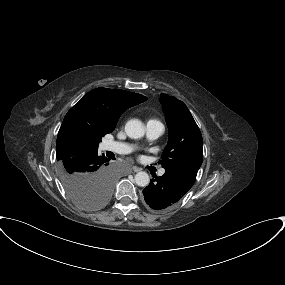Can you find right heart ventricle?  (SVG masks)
Masks as SVG:
<instances>
[{"instance_id":"e07e8e85","label":"right heart ventricle","mask_w":285,"mask_h":285,"mask_svg":"<svg viewBox=\"0 0 285 285\" xmlns=\"http://www.w3.org/2000/svg\"><path fill=\"white\" fill-rule=\"evenodd\" d=\"M149 121H153V122H160L158 119H156V118H151ZM148 121V122H149Z\"/></svg>"}]
</instances>
